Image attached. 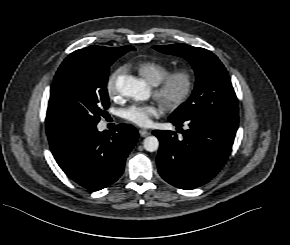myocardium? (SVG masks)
Returning a JSON list of instances; mask_svg holds the SVG:
<instances>
[{
    "label": "myocardium",
    "mask_w": 290,
    "mask_h": 245,
    "mask_svg": "<svg viewBox=\"0 0 290 245\" xmlns=\"http://www.w3.org/2000/svg\"><path fill=\"white\" fill-rule=\"evenodd\" d=\"M196 78L188 69L170 72L157 85L154 95L168 109H176L183 105L194 91Z\"/></svg>",
    "instance_id": "f54148a6"
}]
</instances>
